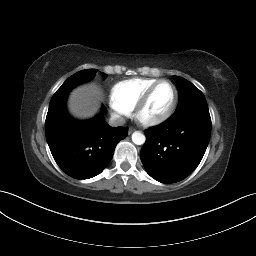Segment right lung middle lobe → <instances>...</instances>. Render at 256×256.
I'll list each match as a JSON object with an SVG mask.
<instances>
[{"label": "right lung middle lobe", "instance_id": "1", "mask_svg": "<svg viewBox=\"0 0 256 256\" xmlns=\"http://www.w3.org/2000/svg\"><path fill=\"white\" fill-rule=\"evenodd\" d=\"M98 70L96 69H88V70H82L71 77H69L62 86L56 91V93L53 95L51 100H55L58 98L67 97L68 92L76 85L81 84L85 81L90 80L95 76V73Z\"/></svg>", "mask_w": 256, "mask_h": 256}]
</instances>
